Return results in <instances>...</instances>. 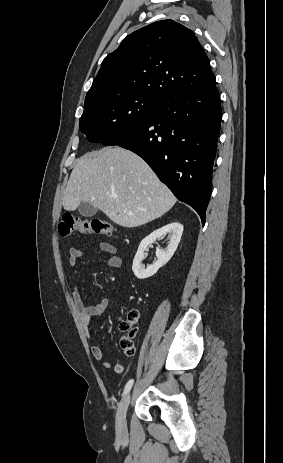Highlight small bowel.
<instances>
[{
	"instance_id": "1",
	"label": "small bowel",
	"mask_w": 283,
	"mask_h": 463,
	"mask_svg": "<svg viewBox=\"0 0 283 463\" xmlns=\"http://www.w3.org/2000/svg\"><path fill=\"white\" fill-rule=\"evenodd\" d=\"M99 246L103 252L110 255L106 261L107 266L119 269L122 266V259L117 255V248L108 242H101ZM82 256L83 252L81 249L71 247L69 249V264L71 266H75ZM73 300L86 329L90 321L93 318L102 315L110 304L108 299H102L96 305H87L81 291L78 288H75L73 291ZM91 353L96 360L103 362L107 367H111L110 363L106 359L104 350L100 346H92ZM113 370L115 373L121 374L124 372V365L121 363L115 364L113 366Z\"/></svg>"
}]
</instances>
